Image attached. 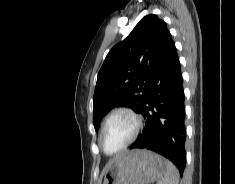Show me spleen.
I'll return each instance as SVG.
<instances>
[{"label":"spleen","instance_id":"obj_1","mask_svg":"<svg viewBox=\"0 0 235 184\" xmlns=\"http://www.w3.org/2000/svg\"><path fill=\"white\" fill-rule=\"evenodd\" d=\"M164 172L158 184H179V172L172 162L164 158Z\"/></svg>","mask_w":235,"mask_h":184}]
</instances>
